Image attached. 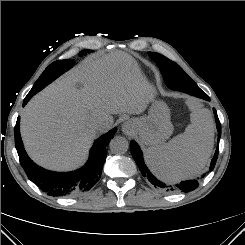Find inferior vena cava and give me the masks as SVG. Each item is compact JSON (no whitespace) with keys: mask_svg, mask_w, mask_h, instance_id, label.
<instances>
[{"mask_svg":"<svg viewBox=\"0 0 245 245\" xmlns=\"http://www.w3.org/2000/svg\"><path fill=\"white\" fill-rule=\"evenodd\" d=\"M106 125V123L104 122V121H98L97 122V127L98 128H102V127H104Z\"/></svg>","mask_w":245,"mask_h":245,"instance_id":"obj_1","label":"inferior vena cava"}]
</instances>
